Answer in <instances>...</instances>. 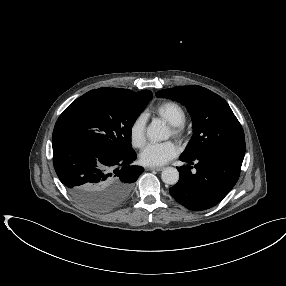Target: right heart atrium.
<instances>
[{"label":"right heart atrium","instance_id":"obj_1","mask_svg":"<svg viewBox=\"0 0 286 286\" xmlns=\"http://www.w3.org/2000/svg\"><path fill=\"white\" fill-rule=\"evenodd\" d=\"M146 121V115L142 113L136 116L130 125V141L136 148L143 147L146 142Z\"/></svg>","mask_w":286,"mask_h":286}]
</instances>
